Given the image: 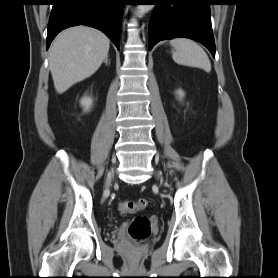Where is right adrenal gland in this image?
Instances as JSON below:
<instances>
[{"label":"right adrenal gland","mask_w":278,"mask_h":278,"mask_svg":"<svg viewBox=\"0 0 278 278\" xmlns=\"http://www.w3.org/2000/svg\"><path fill=\"white\" fill-rule=\"evenodd\" d=\"M104 63H105L106 65H109V64H110V61H108V57L105 58Z\"/></svg>","instance_id":"obj_1"}]
</instances>
